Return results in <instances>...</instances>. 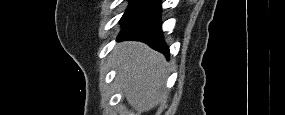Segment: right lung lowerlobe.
<instances>
[{"mask_svg": "<svg viewBox=\"0 0 285 115\" xmlns=\"http://www.w3.org/2000/svg\"><path fill=\"white\" fill-rule=\"evenodd\" d=\"M160 11L161 3L159 1L151 8L124 23L118 36V41H142L169 58V48L163 41Z\"/></svg>", "mask_w": 285, "mask_h": 115, "instance_id": "98d812e1", "label": "right lung lower lobe"}]
</instances>
